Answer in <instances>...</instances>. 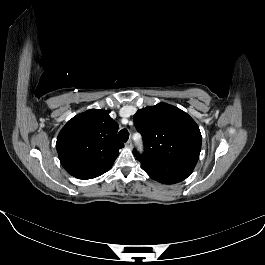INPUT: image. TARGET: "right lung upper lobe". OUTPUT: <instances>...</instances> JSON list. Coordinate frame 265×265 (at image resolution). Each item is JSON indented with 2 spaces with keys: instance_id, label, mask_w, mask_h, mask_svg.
Segmentation results:
<instances>
[{
  "instance_id": "cb5924a9",
  "label": "right lung upper lobe",
  "mask_w": 265,
  "mask_h": 265,
  "mask_svg": "<svg viewBox=\"0 0 265 265\" xmlns=\"http://www.w3.org/2000/svg\"><path fill=\"white\" fill-rule=\"evenodd\" d=\"M110 111L90 109L69 120L57 137L62 166L72 176L91 179L113 165L124 145L116 140L118 124Z\"/></svg>"
}]
</instances>
